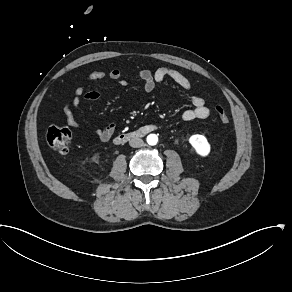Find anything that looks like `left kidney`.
Here are the masks:
<instances>
[{"label": "left kidney", "mask_w": 292, "mask_h": 292, "mask_svg": "<svg viewBox=\"0 0 292 292\" xmlns=\"http://www.w3.org/2000/svg\"><path fill=\"white\" fill-rule=\"evenodd\" d=\"M191 145L201 156H207L210 152V145L203 135H193L189 139Z\"/></svg>", "instance_id": "1"}]
</instances>
